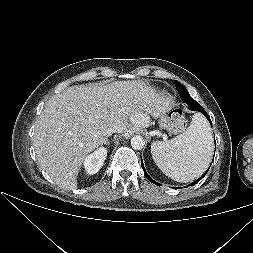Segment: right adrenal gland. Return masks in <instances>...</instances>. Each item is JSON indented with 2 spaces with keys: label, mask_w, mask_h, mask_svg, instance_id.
<instances>
[{
  "label": "right adrenal gland",
  "mask_w": 253,
  "mask_h": 253,
  "mask_svg": "<svg viewBox=\"0 0 253 253\" xmlns=\"http://www.w3.org/2000/svg\"><path fill=\"white\" fill-rule=\"evenodd\" d=\"M107 137H108V136H107ZM107 137L104 139V142H103L102 144H104V145H109V141H108V138H107Z\"/></svg>",
  "instance_id": "1"
}]
</instances>
